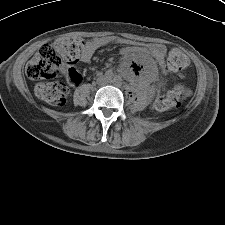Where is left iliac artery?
Returning <instances> with one entry per match:
<instances>
[{
	"instance_id": "left-iliac-artery-1",
	"label": "left iliac artery",
	"mask_w": 225,
	"mask_h": 225,
	"mask_svg": "<svg viewBox=\"0 0 225 225\" xmlns=\"http://www.w3.org/2000/svg\"><path fill=\"white\" fill-rule=\"evenodd\" d=\"M115 80L121 81V78H120L119 76H116V77H115Z\"/></svg>"
}]
</instances>
